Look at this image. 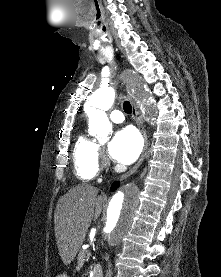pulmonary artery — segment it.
<instances>
[{
    "label": "pulmonary artery",
    "mask_w": 221,
    "mask_h": 277,
    "mask_svg": "<svg viewBox=\"0 0 221 277\" xmlns=\"http://www.w3.org/2000/svg\"><path fill=\"white\" fill-rule=\"evenodd\" d=\"M110 119L114 123H122L124 121V115L120 110H113L110 113Z\"/></svg>",
    "instance_id": "obj_1"
}]
</instances>
